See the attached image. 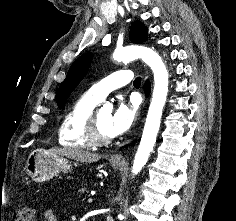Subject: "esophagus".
I'll return each instance as SVG.
<instances>
[{"mask_svg": "<svg viewBox=\"0 0 236 221\" xmlns=\"http://www.w3.org/2000/svg\"><path fill=\"white\" fill-rule=\"evenodd\" d=\"M112 162H124V157L122 156V154H117L114 157H112Z\"/></svg>", "mask_w": 236, "mask_h": 221, "instance_id": "esophagus-1", "label": "esophagus"}]
</instances>
